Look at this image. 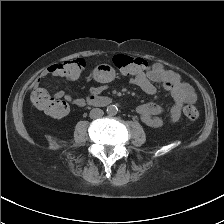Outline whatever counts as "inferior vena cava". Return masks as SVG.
Segmentation results:
<instances>
[{
  "label": "inferior vena cava",
  "instance_id": "602c4592",
  "mask_svg": "<svg viewBox=\"0 0 224 224\" xmlns=\"http://www.w3.org/2000/svg\"><path fill=\"white\" fill-rule=\"evenodd\" d=\"M104 115V112L103 110L99 109V108H94L90 111V118L92 119H97V118H100Z\"/></svg>",
  "mask_w": 224,
  "mask_h": 224
}]
</instances>
